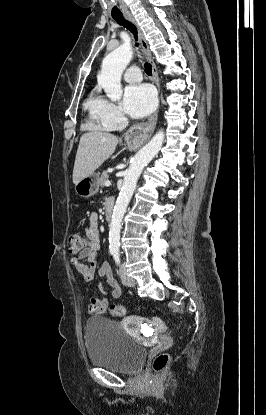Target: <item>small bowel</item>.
Returning <instances> with one entry per match:
<instances>
[{
  "label": "small bowel",
  "mask_w": 266,
  "mask_h": 415,
  "mask_svg": "<svg viewBox=\"0 0 266 415\" xmlns=\"http://www.w3.org/2000/svg\"><path fill=\"white\" fill-rule=\"evenodd\" d=\"M112 200V198H108ZM98 225V214L92 212L89 216V226L87 229L88 244L78 256H75L71 259V265L74 269L82 276L85 282H91L94 280L95 272L97 269V256L100 249V237L97 229ZM98 275L104 277L108 286L111 289V295L114 298L120 297L122 289L118 282L114 279L110 265L107 262H104L98 268ZM99 291L106 295L107 291L102 285H99ZM108 306V301L106 298H92L88 305V312L90 314H99L103 313Z\"/></svg>",
  "instance_id": "c3829d8e"
}]
</instances>
